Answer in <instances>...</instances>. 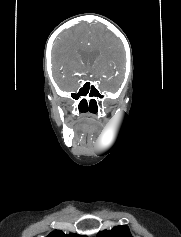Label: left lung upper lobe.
<instances>
[{
	"label": "left lung upper lobe",
	"instance_id": "left-lung-upper-lobe-1",
	"mask_svg": "<svg viewBox=\"0 0 181 237\" xmlns=\"http://www.w3.org/2000/svg\"><path fill=\"white\" fill-rule=\"evenodd\" d=\"M96 237H132L129 228L126 225L116 226L111 230L98 232Z\"/></svg>",
	"mask_w": 181,
	"mask_h": 237
}]
</instances>
